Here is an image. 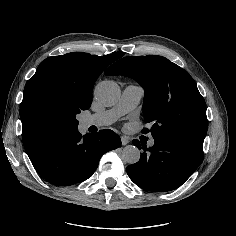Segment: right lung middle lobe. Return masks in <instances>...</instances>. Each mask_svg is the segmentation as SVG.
Returning a JSON list of instances; mask_svg holds the SVG:
<instances>
[{
	"mask_svg": "<svg viewBox=\"0 0 236 236\" xmlns=\"http://www.w3.org/2000/svg\"><path fill=\"white\" fill-rule=\"evenodd\" d=\"M91 100L54 81L33 83L24 90L20 106L23 142L30 146L46 145L77 131L76 115L87 110Z\"/></svg>",
	"mask_w": 236,
	"mask_h": 236,
	"instance_id": "dd1d6c3e",
	"label": "right lung middle lobe"
}]
</instances>
